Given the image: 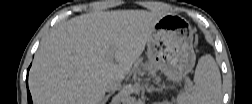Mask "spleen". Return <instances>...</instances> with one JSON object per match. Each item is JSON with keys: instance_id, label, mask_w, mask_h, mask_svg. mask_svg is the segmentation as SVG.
Listing matches in <instances>:
<instances>
[{"instance_id": "obj_1", "label": "spleen", "mask_w": 252, "mask_h": 104, "mask_svg": "<svg viewBox=\"0 0 252 104\" xmlns=\"http://www.w3.org/2000/svg\"><path fill=\"white\" fill-rule=\"evenodd\" d=\"M221 75L214 58L207 54L199 59L194 85L178 95L180 104H218L222 97Z\"/></svg>"}]
</instances>
